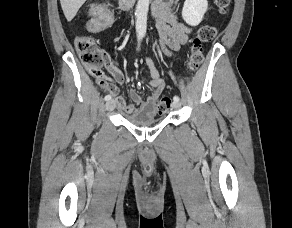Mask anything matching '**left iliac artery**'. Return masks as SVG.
I'll list each match as a JSON object with an SVG mask.
<instances>
[{
    "label": "left iliac artery",
    "instance_id": "obj_1",
    "mask_svg": "<svg viewBox=\"0 0 292 228\" xmlns=\"http://www.w3.org/2000/svg\"><path fill=\"white\" fill-rule=\"evenodd\" d=\"M173 100H174V101H180V98H179V96H176V95H175V96L173 97Z\"/></svg>",
    "mask_w": 292,
    "mask_h": 228
}]
</instances>
